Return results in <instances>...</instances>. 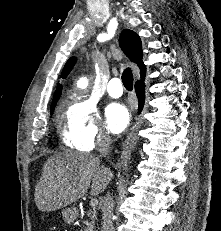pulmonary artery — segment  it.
Returning <instances> with one entry per match:
<instances>
[{"instance_id":"pulmonary-artery-1","label":"pulmonary artery","mask_w":221,"mask_h":231,"mask_svg":"<svg viewBox=\"0 0 221 231\" xmlns=\"http://www.w3.org/2000/svg\"><path fill=\"white\" fill-rule=\"evenodd\" d=\"M108 94L113 98H119L123 94L122 82L119 78L110 80L107 86Z\"/></svg>"}]
</instances>
